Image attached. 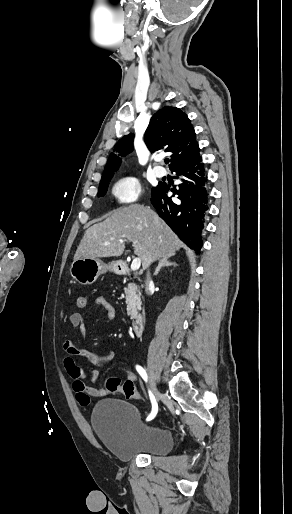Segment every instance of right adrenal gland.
I'll return each mask as SVG.
<instances>
[{
	"label": "right adrenal gland",
	"instance_id": "2a0ac1e0",
	"mask_svg": "<svg viewBox=\"0 0 292 514\" xmlns=\"http://www.w3.org/2000/svg\"><path fill=\"white\" fill-rule=\"evenodd\" d=\"M169 258H171V256H166V258H162V260H160L153 276H157L158 272H160L161 268H165V266H174V268H176V266H178V264H176V262H169Z\"/></svg>",
	"mask_w": 292,
	"mask_h": 514
}]
</instances>
